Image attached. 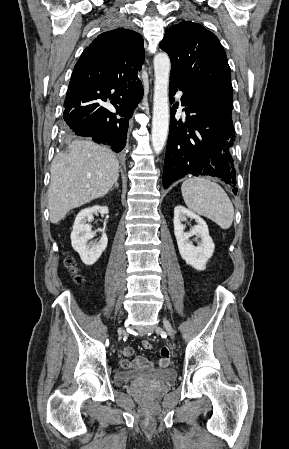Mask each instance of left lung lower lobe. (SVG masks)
Returning a JSON list of instances; mask_svg holds the SVG:
<instances>
[{
	"label": "left lung lower lobe",
	"instance_id": "obj_1",
	"mask_svg": "<svg viewBox=\"0 0 289 449\" xmlns=\"http://www.w3.org/2000/svg\"><path fill=\"white\" fill-rule=\"evenodd\" d=\"M170 101L181 90V104L186 106V122L170 120V132L163 171V187L185 175L218 177L236 184V170L231 155L235 140L232 116L207 103L196 87L170 79ZM177 108V106H175ZM173 115L176 110L171 109ZM233 192L236 194L237 189Z\"/></svg>",
	"mask_w": 289,
	"mask_h": 449
}]
</instances>
